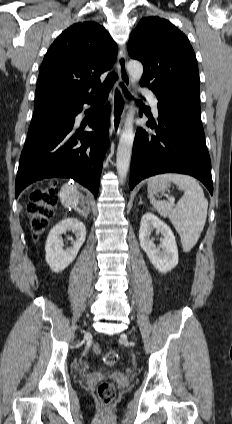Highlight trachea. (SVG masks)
<instances>
[{
    "label": "trachea",
    "instance_id": "obj_1",
    "mask_svg": "<svg viewBox=\"0 0 232 424\" xmlns=\"http://www.w3.org/2000/svg\"><path fill=\"white\" fill-rule=\"evenodd\" d=\"M116 79H117L116 73L109 74L108 77L106 78L105 82L101 86H99L98 88H94L93 91L96 94L95 99L105 100L107 98L108 93L111 90L114 82L116 81ZM120 85H121L125 95L128 98L131 97V95L129 94L126 87L122 83Z\"/></svg>",
    "mask_w": 232,
    "mask_h": 424
}]
</instances>
